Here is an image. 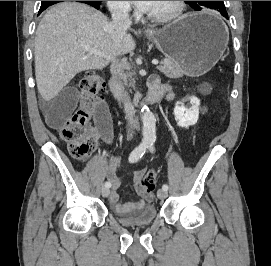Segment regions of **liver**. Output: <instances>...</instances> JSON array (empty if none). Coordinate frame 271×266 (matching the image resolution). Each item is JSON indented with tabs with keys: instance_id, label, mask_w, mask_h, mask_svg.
I'll use <instances>...</instances> for the list:
<instances>
[{
	"instance_id": "liver-1",
	"label": "liver",
	"mask_w": 271,
	"mask_h": 266,
	"mask_svg": "<svg viewBox=\"0 0 271 266\" xmlns=\"http://www.w3.org/2000/svg\"><path fill=\"white\" fill-rule=\"evenodd\" d=\"M107 17L81 3L64 2L43 16L35 37V76L38 92L52 100L76 74L104 68L109 58L135 49L131 34H124L119 48L114 46ZM89 46L102 51L100 57L86 51Z\"/></svg>"
}]
</instances>
